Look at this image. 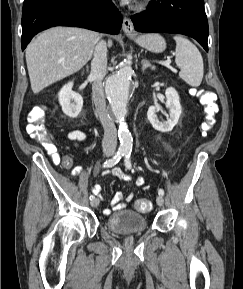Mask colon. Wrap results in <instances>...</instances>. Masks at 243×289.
Here are the masks:
<instances>
[{"mask_svg": "<svg viewBox=\"0 0 243 289\" xmlns=\"http://www.w3.org/2000/svg\"><path fill=\"white\" fill-rule=\"evenodd\" d=\"M196 95L199 97L200 103L203 106L205 120L202 124V129L204 132H208L212 129L215 124V116L218 112V106L216 104L215 94L207 90L195 91ZM45 111L43 107H35L28 114V125L27 132L33 139L39 141L44 148L53 154L54 160L59 161L60 158L56 154V146L52 142L45 126ZM65 165H70V160H64ZM134 207L137 211L148 212L152 208L150 201L146 199H139L134 203Z\"/></svg>", "mask_w": 243, "mask_h": 289, "instance_id": "5ec220e1", "label": "colon"}]
</instances>
